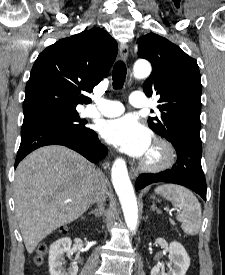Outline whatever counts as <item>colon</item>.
<instances>
[{"label":"colon","instance_id":"5ec220e1","mask_svg":"<svg viewBox=\"0 0 225 275\" xmlns=\"http://www.w3.org/2000/svg\"><path fill=\"white\" fill-rule=\"evenodd\" d=\"M46 251V245L45 244H40L38 247V255L36 256L35 260L37 263H40L42 260V255Z\"/></svg>","mask_w":225,"mask_h":275}]
</instances>
